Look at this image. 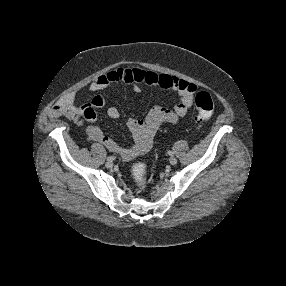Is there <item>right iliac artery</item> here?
Masks as SVG:
<instances>
[{"label": "right iliac artery", "instance_id": "obj_1", "mask_svg": "<svg viewBox=\"0 0 286 286\" xmlns=\"http://www.w3.org/2000/svg\"><path fill=\"white\" fill-rule=\"evenodd\" d=\"M115 158L116 157H114V156H109V157H107V161H113V160H115Z\"/></svg>", "mask_w": 286, "mask_h": 286}]
</instances>
